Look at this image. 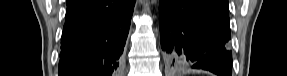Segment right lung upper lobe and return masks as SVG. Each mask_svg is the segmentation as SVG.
Listing matches in <instances>:
<instances>
[{"mask_svg": "<svg viewBox=\"0 0 287 76\" xmlns=\"http://www.w3.org/2000/svg\"><path fill=\"white\" fill-rule=\"evenodd\" d=\"M70 1H72V0H67V2H70Z\"/></svg>", "mask_w": 287, "mask_h": 76, "instance_id": "cb5924a9", "label": "right lung upper lobe"}]
</instances>
